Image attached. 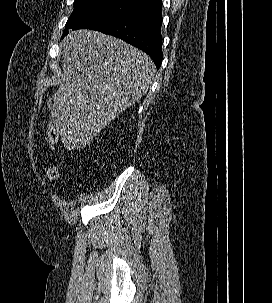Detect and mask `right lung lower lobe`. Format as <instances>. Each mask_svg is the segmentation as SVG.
I'll return each instance as SVG.
<instances>
[{
	"mask_svg": "<svg viewBox=\"0 0 272 303\" xmlns=\"http://www.w3.org/2000/svg\"><path fill=\"white\" fill-rule=\"evenodd\" d=\"M162 2L89 28L120 38L141 49L159 68L162 63Z\"/></svg>",
	"mask_w": 272,
	"mask_h": 303,
	"instance_id": "right-lung-lower-lobe-1",
	"label": "right lung lower lobe"
}]
</instances>
